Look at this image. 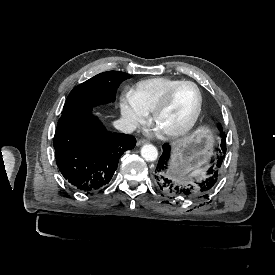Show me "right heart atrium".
I'll return each mask as SVG.
<instances>
[{
	"instance_id": "right-heart-atrium-1",
	"label": "right heart atrium",
	"mask_w": 275,
	"mask_h": 275,
	"mask_svg": "<svg viewBox=\"0 0 275 275\" xmlns=\"http://www.w3.org/2000/svg\"><path fill=\"white\" fill-rule=\"evenodd\" d=\"M120 108L122 117L130 129H136L144 124L149 115V112L137 102L132 91L123 94Z\"/></svg>"
}]
</instances>
